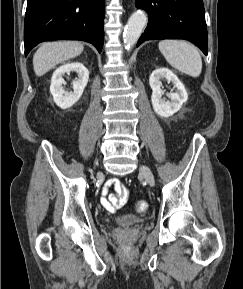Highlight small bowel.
I'll return each mask as SVG.
<instances>
[{
	"mask_svg": "<svg viewBox=\"0 0 243 289\" xmlns=\"http://www.w3.org/2000/svg\"><path fill=\"white\" fill-rule=\"evenodd\" d=\"M109 187L113 189V192L108 193ZM127 198V188L119 179L114 178L108 182L101 198V204L106 210L114 212L126 203Z\"/></svg>",
	"mask_w": 243,
	"mask_h": 289,
	"instance_id": "small-bowel-1",
	"label": "small bowel"
}]
</instances>
